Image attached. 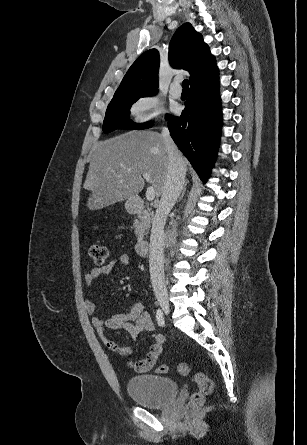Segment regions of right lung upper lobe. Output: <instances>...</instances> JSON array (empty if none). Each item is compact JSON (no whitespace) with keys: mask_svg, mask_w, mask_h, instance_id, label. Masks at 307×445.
Instances as JSON below:
<instances>
[{"mask_svg":"<svg viewBox=\"0 0 307 445\" xmlns=\"http://www.w3.org/2000/svg\"><path fill=\"white\" fill-rule=\"evenodd\" d=\"M169 61L172 67L189 71L191 83L216 66L208 45L190 23L180 26L172 37ZM158 70L159 52L156 49L144 52L131 65L111 101L155 94L158 91Z\"/></svg>","mask_w":307,"mask_h":445,"instance_id":"1","label":"right lung upper lobe"}]
</instances>
